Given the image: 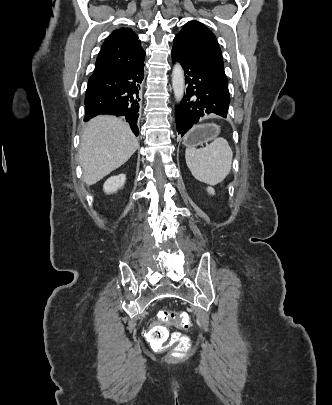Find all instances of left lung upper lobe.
I'll return each mask as SVG.
<instances>
[{
	"label": "left lung upper lobe",
	"instance_id": "5c2ea615",
	"mask_svg": "<svg viewBox=\"0 0 332 405\" xmlns=\"http://www.w3.org/2000/svg\"><path fill=\"white\" fill-rule=\"evenodd\" d=\"M173 48L209 70L222 84L230 102L222 53L215 35L206 26L198 21H189L175 36Z\"/></svg>",
	"mask_w": 332,
	"mask_h": 405
}]
</instances>
